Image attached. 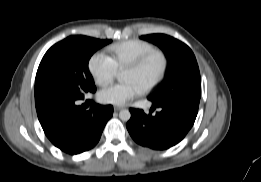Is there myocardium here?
<instances>
[{
    "label": "myocardium",
    "instance_id": "myocardium-1",
    "mask_svg": "<svg viewBox=\"0 0 261 182\" xmlns=\"http://www.w3.org/2000/svg\"><path fill=\"white\" fill-rule=\"evenodd\" d=\"M158 56L161 60V68L159 71V74L157 77L150 82L147 86L143 88L144 92H149L152 89H154L156 86H158L162 80L164 79L167 69H168V59L165 53L159 49H152L141 56H139L137 59L129 63L123 70H136L141 68L150 58Z\"/></svg>",
    "mask_w": 261,
    "mask_h": 182
}]
</instances>
